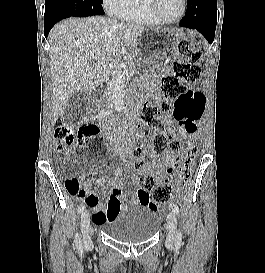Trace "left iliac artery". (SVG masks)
I'll list each match as a JSON object with an SVG mask.
<instances>
[{
    "label": "left iliac artery",
    "instance_id": "44dca946",
    "mask_svg": "<svg viewBox=\"0 0 265 273\" xmlns=\"http://www.w3.org/2000/svg\"><path fill=\"white\" fill-rule=\"evenodd\" d=\"M171 208H172V211L179 215L180 213V210H179V207L176 205V204H172L171 205ZM181 242H182V232L179 231L177 234H176V238H175V246L177 248H179L181 246Z\"/></svg>",
    "mask_w": 265,
    "mask_h": 273
}]
</instances>
